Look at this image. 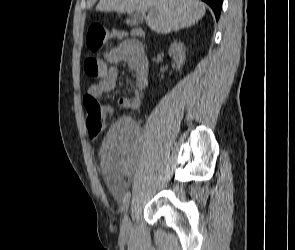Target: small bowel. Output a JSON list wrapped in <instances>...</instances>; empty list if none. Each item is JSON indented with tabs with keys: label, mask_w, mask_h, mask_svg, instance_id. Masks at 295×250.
<instances>
[{
	"label": "small bowel",
	"mask_w": 295,
	"mask_h": 250,
	"mask_svg": "<svg viewBox=\"0 0 295 250\" xmlns=\"http://www.w3.org/2000/svg\"><path fill=\"white\" fill-rule=\"evenodd\" d=\"M105 60L111 64L123 61L133 70L132 94L120 97L118 104L126 109H138L149 82L148 61L141 44L136 40L123 41L106 53ZM106 62H102L99 81L90 86L87 92V95L96 100L116 86L118 70L116 67H108ZM104 108L111 113L112 108L109 105H104ZM138 149L137 126L128 118L118 120L109 130L100 152L107 185L114 193L121 194L125 190L126 180L133 172Z\"/></svg>",
	"instance_id": "1"
}]
</instances>
